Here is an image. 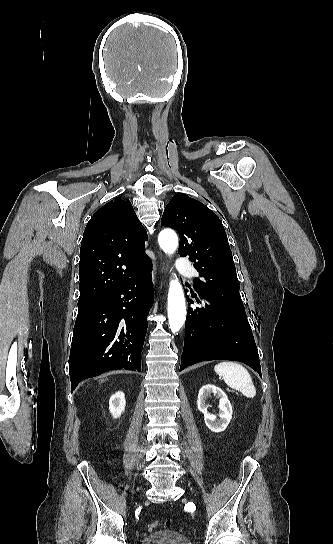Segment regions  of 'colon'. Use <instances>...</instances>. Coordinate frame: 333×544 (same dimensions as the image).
<instances>
[{
  "mask_svg": "<svg viewBox=\"0 0 333 544\" xmlns=\"http://www.w3.org/2000/svg\"><path fill=\"white\" fill-rule=\"evenodd\" d=\"M160 525H164V526H169V522L166 521L164 523H160L158 521H153V522H150L146 525V528L149 530V531H153L155 529H157Z\"/></svg>",
  "mask_w": 333,
  "mask_h": 544,
  "instance_id": "colon-1",
  "label": "colon"
}]
</instances>
